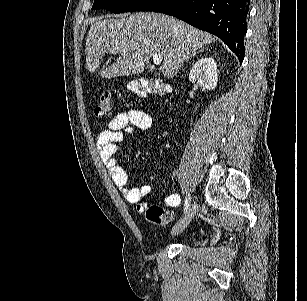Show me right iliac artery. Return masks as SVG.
I'll return each instance as SVG.
<instances>
[{
  "label": "right iliac artery",
  "mask_w": 307,
  "mask_h": 301,
  "mask_svg": "<svg viewBox=\"0 0 307 301\" xmlns=\"http://www.w3.org/2000/svg\"><path fill=\"white\" fill-rule=\"evenodd\" d=\"M191 202V196L188 194L185 198V204H184V212H187Z\"/></svg>",
  "instance_id": "right-iliac-artery-1"
}]
</instances>
